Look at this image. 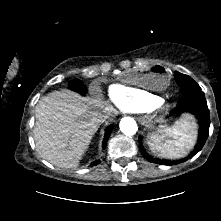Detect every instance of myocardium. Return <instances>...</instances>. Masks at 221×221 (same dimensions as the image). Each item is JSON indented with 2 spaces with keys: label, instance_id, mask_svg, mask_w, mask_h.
I'll list each match as a JSON object with an SVG mask.
<instances>
[{
  "label": "myocardium",
  "instance_id": "obj_1",
  "mask_svg": "<svg viewBox=\"0 0 221 221\" xmlns=\"http://www.w3.org/2000/svg\"><path fill=\"white\" fill-rule=\"evenodd\" d=\"M154 108L164 111L168 108V104L164 100H161L158 104L154 106Z\"/></svg>",
  "mask_w": 221,
  "mask_h": 221
}]
</instances>
